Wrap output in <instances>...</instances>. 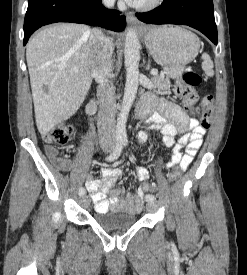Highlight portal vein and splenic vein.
Returning <instances> with one entry per match:
<instances>
[{"label":"portal vein and splenic vein","mask_w":247,"mask_h":275,"mask_svg":"<svg viewBox=\"0 0 247 275\" xmlns=\"http://www.w3.org/2000/svg\"><path fill=\"white\" fill-rule=\"evenodd\" d=\"M151 75L156 76L158 74V71L156 69L151 70Z\"/></svg>","instance_id":"portal-vein-and-splenic-vein-1"}]
</instances>
